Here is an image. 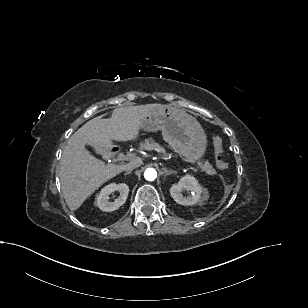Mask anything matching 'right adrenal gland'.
Masks as SVG:
<instances>
[{
    "label": "right adrenal gland",
    "instance_id": "right-adrenal-gland-1",
    "mask_svg": "<svg viewBox=\"0 0 308 308\" xmlns=\"http://www.w3.org/2000/svg\"><path fill=\"white\" fill-rule=\"evenodd\" d=\"M128 174H130V172L125 173V175H128Z\"/></svg>",
    "mask_w": 308,
    "mask_h": 308
}]
</instances>
